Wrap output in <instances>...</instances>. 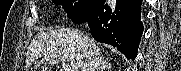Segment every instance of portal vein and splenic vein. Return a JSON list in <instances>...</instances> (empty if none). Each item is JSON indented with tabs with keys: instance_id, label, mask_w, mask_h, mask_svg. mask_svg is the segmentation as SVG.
Masks as SVG:
<instances>
[{
	"instance_id": "obj_1",
	"label": "portal vein and splenic vein",
	"mask_w": 181,
	"mask_h": 71,
	"mask_svg": "<svg viewBox=\"0 0 181 71\" xmlns=\"http://www.w3.org/2000/svg\"><path fill=\"white\" fill-rule=\"evenodd\" d=\"M46 60H48V59H46ZM61 62H62V65H63V68L65 71H72V69L69 68V66L66 64L65 60H61Z\"/></svg>"
}]
</instances>
